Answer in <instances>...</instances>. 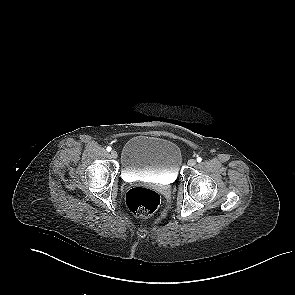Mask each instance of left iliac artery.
I'll list each match as a JSON object with an SVG mask.
<instances>
[{"label": "left iliac artery", "mask_w": 295, "mask_h": 295, "mask_svg": "<svg viewBox=\"0 0 295 295\" xmlns=\"http://www.w3.org/2000/svg\"><path fill=\"white\" fill-rule=\"evenodd\" d=\"M201 161H202V158H201V157H198V158H197V162L200 163Z\"/></svg>", "instance_id": "44dca946"}]
</instances>
